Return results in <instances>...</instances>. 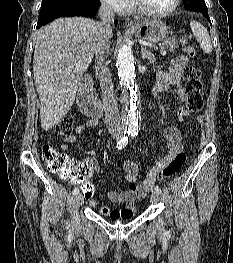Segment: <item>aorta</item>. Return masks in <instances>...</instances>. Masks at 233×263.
<instances>
[{"instance_id": "1", "label": "aorta", "mask_w": 233, "mask_h": 263, "mask_svg": "<svg viewBox=\"0 0 233 263\" xmlns=\"http://www.w3.org/2000/svg\"><path fill=\"white\" fill-rule=\"evenodd\" d=\"M118 77L123 94V116L128 130H138L139 121V93L136 90V73L134 58L129 45H124L118 51L117 57Z\"/></svg>"}]
</instances>
